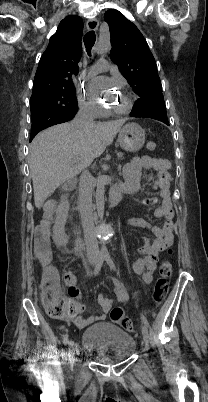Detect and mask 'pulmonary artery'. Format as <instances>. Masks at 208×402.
<instances>
[{
	"mask_svg": "<svg viewBox=\"0 0 208 402\" xmlns=\"http://www.w3.org/2000/svg\"><path fill=\"white\" fill-rule=\"evenodd\" d=\"M99 64V65H98ZM98 64H94L88 68V70H84V73L93 74L99 71H106L108 69L107 61L100 60Z\"/></svg>",
	"mask_w": 208,
	"mask_h": 402,
	"instance_id": "1",
	"label": "pulmonary artery"
}]
</instances>
